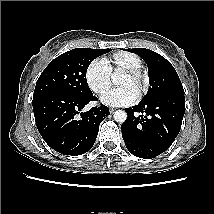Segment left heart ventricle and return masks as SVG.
I'll use <instances>...</instances> for the list:
<instances>
[{"label": "left heart ventricle", "mask_w": 214, "mask_h": 214, "mask_svg": "<svg viewBox=\"0 0 214 214\" xmlns=\"http://www.w3.org/2000/svg\"><path fill=\"white\" fill-rule=\"evenodd\" d=\"M119 85L120 86H131L133 87L135 90L139 91V88L138 86L132 81V79L123 74V76L121 77L120 81H119Z\"/></svg>", "instance_id": "1"}]
</instances>
